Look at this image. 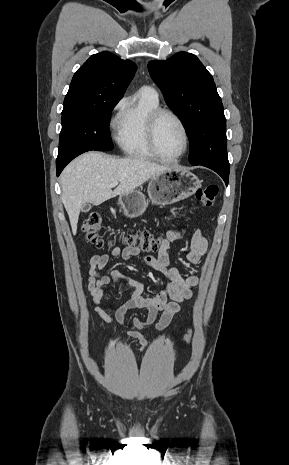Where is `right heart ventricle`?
<instances>
[{
    "instance_id": "e07e8e85",
    "label": "right heart ventricle",
    "mask_w": 289,
    "mask_h": 465,
    "mask_svg": "<svg viewBox=\"0 0 289 465\" xmlns=\"http://www.w3.org/2000/svg\"><path fill=\"white\" fill-rule=\"evenodd\" d=\"M159 108L158 95L148 88H141L129 101H126L118 118L116 140L122 151L129 157L153 160L147 140L149 115Z\"/></svg>"
}]
</instances>
